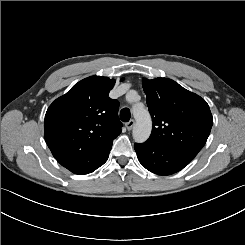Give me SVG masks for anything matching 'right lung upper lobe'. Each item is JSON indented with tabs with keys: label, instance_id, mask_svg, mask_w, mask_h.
<instances>
[{
	"label": "right lung upper lobe",
	"instance_id": "right-lung-upper-lobe-1",
	"mask_svg": "<svg viewBox=\"0 0 245 245\" xmlns=\"http://www.w3.org/2000/svg\"><path fill=\"white\" fill-rule=\"evenodd\" d=\"M114 84V79L90 76L47 109L45 141L55 159L74 174H88L103 165L121 133L119 103L108 96Z\"/></svg>",
	"mask_w": 245,
	"mask_h": 245
}]
</instances>
